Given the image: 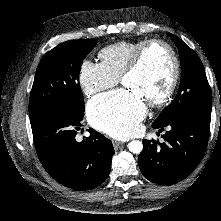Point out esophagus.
Here are the masks:
<instances>
[{
  "label": "esophagus",
  "mask_w": 221,
  "mask_h": 221,
  "mask_svg": "<svg viewBox=\"0 0 221 221\" xmlns=\"http://www.w3.org/2000/svg\"><path fill=\"white\" fill-rule=\"evenodd\" d=\"M112 144L115 149H118L121 145H123V142L117 141V140H112Z\"/></svg>",
  "instance_id": "34e87169"
}]
</instances>
